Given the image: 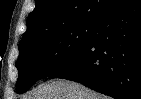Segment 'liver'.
Returning a JSON list of instances; mask_svg holds the SVG:
<instances>
[{
    "label": "liver",
    "instance_id": "1",
    "mask_svg": "<svg viewBox=\"0 0 141 99\" xmlns=\"http://www.w3.org/2000/svg\"><path fill=\"white\" fill-rule=\"evenodd\" d=\"M27 99H110L82 84L69 80H52L35 88Z\"/></svg>",
    "mask_w": 141,
    "mask_h": 99
}]
</instances>
